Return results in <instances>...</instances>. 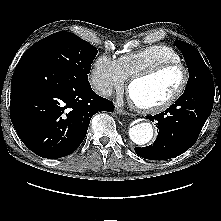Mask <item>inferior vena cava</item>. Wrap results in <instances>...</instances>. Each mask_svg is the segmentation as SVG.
Returning <instances> with one entry per match:
<instances>
[{"mask_svg": "<svg viewBox=\"0 0 221 221\" xmlns=\"http://www.w3.org/2000/svg\"><path fill=\"white\" fill-rule=\"evenodd\" d=\"M113 89L109 85H103L100 88V94L106 97H110L112 95Z\"/></svg>", "mask_w": 221, "mask_h": 221, "instance_id": "obj_1", "label": "inferior vena cava"}]
</instances>
